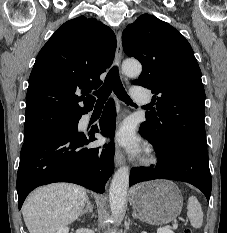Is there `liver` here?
Wrapping results in <instances>:
<instances>
[{
	"label": "liver",
	"instance_id": "obj_1",
	"mask_svg": "<svg viewBox=\"0 0 227 233\" xmlns=\"http://www.w3.org/2000/svg\"><path fill=\"white\" fill-rule=\"evenodd\" d=\"M86 190L67 183H55L33 191L22 207L29 233H56L79 218L87 202Z\"/></svg>",
	"mask_w": 227,
	"mask_h": 233
}]
</instances>
